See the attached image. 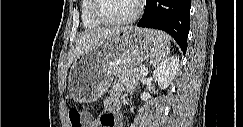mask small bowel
Returning a JSON list of instances; mask_svg holds the SVG:
<instances>
[{"label": "small bowel", "mask_w": 243, "mask_h": 127, "mask_svg": "<svg viewBox=\"0 0 243 127\" xmlns=\"http://www.w3.org/2000/svg\"><path fill=\"white\" fill-rule=\"evenodd\" d=\"M119 100L115 95L108 97L105 101L104 107L106 112L99 118H93L92 115L88 114L86 117V125L88 127H119L121 126V119L115 112L119 108Z\"/></svg>", "instance_id": "small-bowel-1"}]
</instances>
